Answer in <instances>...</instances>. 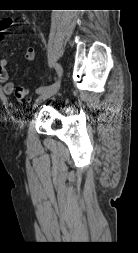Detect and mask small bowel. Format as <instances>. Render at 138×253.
I'll use <instances>...</instances> for the list:
<instances>
[{
    "mask_svg": "<svg viewBox=\"0 0 138 253\" xmlns=\"http://www.w3.org/2000/svg\"><path fill=\"white\" fill-rule=\"evenodd\" d=\"M16 24L12 18H5L0 20V44L8 46L7 29ZM24 56L27 61H33L35 58V49L31 45L25 47ZM7 60L0 58V82L3 83V91L7 95H11L14 91V84L9 81V73L7 70Z\"/></svg>",
    "mask_w": 138,
    "mask_h": 253,
    "instance_id": "c3829d8e",
    "label": "small bowel"
}]
</instances>
